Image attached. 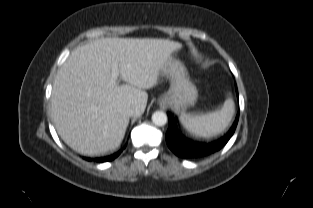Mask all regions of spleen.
<instances>
[{"label": "spleen", "mask_w": 313, "mask_h": 208, "mask_svg": "<svg viewBox=\"0 0 313 208\" xmlns=\"http://www.w3.org/2000/svg\"><path fill=\"white\" fill-rule=\"evenodd\" d=\"M235 114V104L228 97L222 108L205 115L181 116V125L191 134L197 137L212 138L226 131Z\"/></svg>", "instance_id": "3e777b00"}]
</instances>
